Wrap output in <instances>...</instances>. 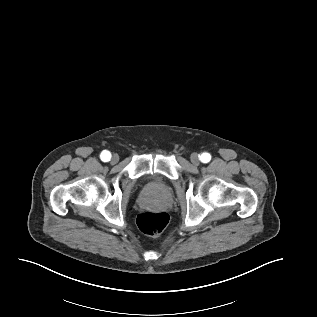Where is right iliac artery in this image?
Segmentation results:
<instances>
[{"label":"right iliac artery","mask_w":317,"mask_h":317,"mask_svg":"<svg viewBox=\"0 0 317 317\" xmlns=\"http://www.w3.org/2000/svg\"><path fill=\"white\" fill-rule=\"evenodd\" d=\"M100 158L102 161L107 162L111 159V154L109 151H102V153L100 154Z\"/></svg>","instance_id":"right-iliac-artery-1"}]
</instances>
